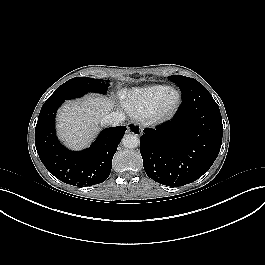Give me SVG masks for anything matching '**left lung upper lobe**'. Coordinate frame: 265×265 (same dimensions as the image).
<instances>
[{
    "label": "left lung upper lobe",
    "mask_w": 265,
    "mask_h": 265,
    "mask_svg": "<svg viewBox=\"0 0 265 265\" xmlns=\"http://www.w3.org/2000/svg\"><path fill=\"white\" fill-rule=\"evenodd\" d=\"M169 79L172 82L176 83L179 86V88L184 83H189V82H197V83H199L197 80H195L193 78H188V77L181 76V75H172V76L169 77ZM203 102L207 103V104H216V102L214 101V99L212 98V96L208 92V90H206V88H205V98H204Z\"/></svg>",
    "instance_id": "1"
}]
</instances>
